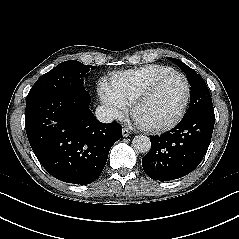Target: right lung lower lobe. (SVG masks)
<instances>
[{
	"label": "right lung lower lobe",
	"instance_id": "1",
	"mask_svg": "<svg viewBox=\"0 0 239 239\" xmlns=\"http://www.w3.org/2000/svg\"><path fill=\"white\" fill-rule=\"evenodd\" d=\"M88 92L49 94L26 101L25 128L43 167L58 180L87 185L102 173L112 145L122 137L116 122H99Z\"/></svg>",
	"mask_w": 239,
	"mask_h": 239
}]
</instances>
